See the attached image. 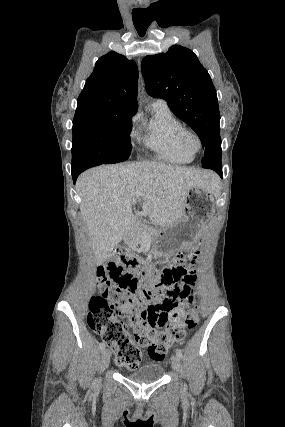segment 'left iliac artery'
Returning <instances> with one entry per match:
<instances>
[{
	"instance_id": "44dca946",
	"label": "left iliac artery",
	"mask_w": 285,
	"mask_h": 427,
	"mask_svg": "<svg viewBox=\"0 0 285 427\" xmlns=\"http://www.w3.org/2000/svg\"><path fill=\"white\" fill-rule=\"evenodd\" d=\"M176 353H177V355L179 356V358H181V359H182V357H183V352H182V350H181V349H177V350H176Z\"/></svg>"
}]
</instances>
